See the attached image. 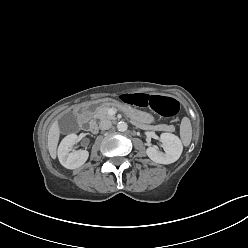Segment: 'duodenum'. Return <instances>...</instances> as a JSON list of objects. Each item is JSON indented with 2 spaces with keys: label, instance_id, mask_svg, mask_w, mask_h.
Returning a JSON list of instances; mask_svg holds the SVG:
<instances>
[{
  "label": "duodenum",
  "instance_id": "410a0bca",
  "mask_svg": "<svg viewBox=\"0 0 248 248\" xmlns=\"http://www.w3.org/2000/svg\"><path fill=\"white\" fill-rule=\"evenodd\" d=\"M77 115H78L79 122L82 125H87V129L89 132L95 133L98 131V126H97L96 122H93V121L89 122V119L92 116V111L89 110V105L82 107L78 111Z\"/></svg>",
  "mask_w": 248,
  "mask_h": 248
}]
</instances>
